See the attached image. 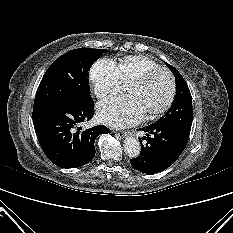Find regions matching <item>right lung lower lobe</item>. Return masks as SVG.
I'll use <instances>...</instances> for the list:
<instances>
[{
    "mask_svg": "<svg viewBox=\"0 0 233 233\" xmlns=\"http://www.w3.org/2000/svg\"><path fill=\"white\" fill-rule=\"evenodd\" d=\"M94 115L90 98L77 104L48 105L33 110V124L39 144L52 163L61 168H77L95 156V139L110 130L97 125L80 131L77 124L89 121Z\"/></svg>",
    "mask_w": 233,
    "mask_h": 233,
    "instance_id": "obj_1",
    "label": "right lung lower lobe"
}]
</instances>
